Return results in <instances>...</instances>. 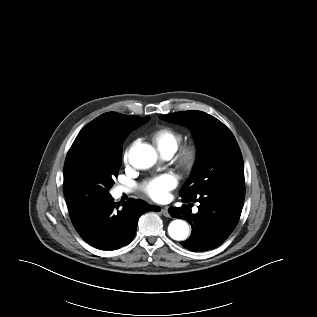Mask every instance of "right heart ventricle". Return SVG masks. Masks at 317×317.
Segmentation results:
<instances>
[{"instance_id": "obj_1", "label": "right heart ventricle", "mask_w": 317, "mask_h": 317, "mask_svg": "<svg viewBox=\"0 0 317 317\" xmlns=\"http://www.w3.org/2000/svg\"><path fill=\"white\" fill-rule=\"evenodd\" d=\"M182 138L180 131L168 126L159 127L151 133L153 143L164 156L173 155L179 148Z\"/></svg>"}]
</instances>
